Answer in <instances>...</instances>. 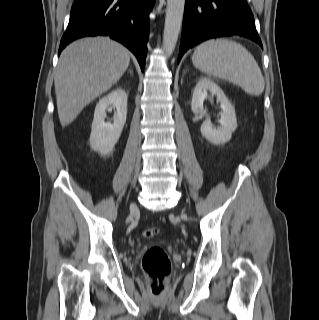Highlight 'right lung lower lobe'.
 Here are the masks:
<instances>
[{"label": "right lung lower lobe", "instance_id": "right-lung-lower-lobe-1", "mask_svg": "<svg viewBox=\"0 0 319 320\" xmlns=\"http://www.w3.org/2000/svg\"><path fill=\"white\" fill-rule=\"evenodd\" d=\"M155 0H74L69 25L59 47L84 36L107 35L128 47L144 70L149 13Z\"/></svg>", "mask_w": 319, "mask_h": 320}]
</instances>
